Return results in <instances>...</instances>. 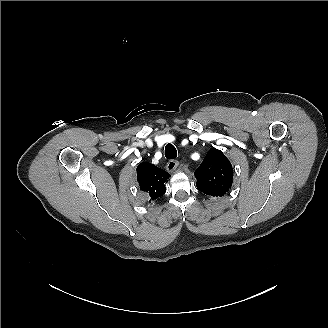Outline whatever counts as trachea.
<instances>
[{"label":"trachea","instance_id":"obj_1","mask_svg":"<svg viewBox=\"0 0 328 328\" xmlns=\"http://www.w3.org/2000/svg\"><path fill=\"white\" fill-rule=\"evenodd\" d=\"M165 157L167 159H175L177 157V150L174 145L168 143L165 146Z\"/></svg>","mask_w":328,"mask_h":328}]
</instances>
